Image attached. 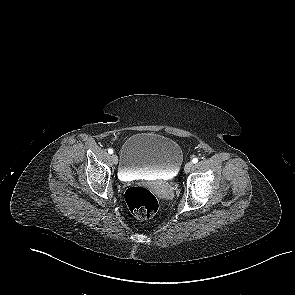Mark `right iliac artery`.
Wrapping results in <instances>:
<instances>
[{
  "label": "right iliac artery",
  "instance_id": "obj_1",
  "mask_svg": "<svg viewBox=\"0 0 295 295\" xmlns=\"http://www.w3.org/2000/svg\"><path fill=\"white\" fill-rule=\"evenodd\" d=\"M113 152H114L113 149H111V148L108 149L109 154H113Z\"/></svg>",
  "mask_w": 295,
  "mask_h": 295
}]
</instances>
